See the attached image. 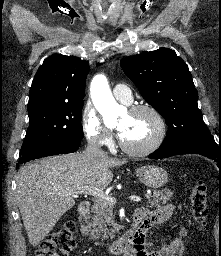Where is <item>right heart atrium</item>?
Masks as SVG:
<instances>
[{"instance_id": "d8ad5b80", "label": "right heart atrium", "mask_w": 221, "mask_h": 256, "mask_svg": "<svg viewBox=\"0 0 221 256\" xmlns=\"http://www.w3.org/2000/svg\"><path fill=\"white\" fill-rule=\"evenodd\" d=\"M81 125L86 140L92 146L104 148L112 144V135L91 103H87L81 115Z\"/></svg>"}]
</instances>
